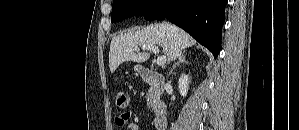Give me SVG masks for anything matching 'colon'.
<instances>
[{
    "label": "colon",
    "instance_id": "obj_1",
    "mask_svg": "<svg viewBox=\"0 0 299 130\" xmlns=\"http://www.w3.org/2000/svg\"><path fill=\"white\" fill-rule=\"evenodd\" d=\"M115 102L117 107L121 109H126L130 103L128 94L121 90L118 91L115 95Z\"/></svg>",
    "mask_w": 299,
    "mask_h": 130
}]
</instances>
